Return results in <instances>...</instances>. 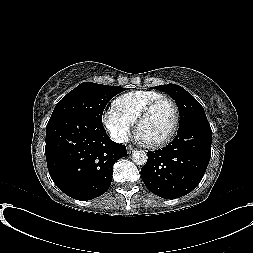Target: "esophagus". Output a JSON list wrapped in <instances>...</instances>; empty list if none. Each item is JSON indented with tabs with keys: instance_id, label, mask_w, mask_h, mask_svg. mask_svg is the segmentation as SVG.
Masks as SVG:
<instances>
[{
	"instance_id": "1",
	"label": "esophagus",
	"mask_w": 253,
	"mask_h": 253,
	"mask_svg": "<svg viewBox=\"0 0 253 253\" xmlns=\"http://www.w3.org/2000/svg\"><path fill=\"white\" fill-rule=\"evenodd\" d=\"M135 149H136L135 147L129 145V146L127 147L128 154H131L133 151H135Z\"/></svg>"
}]
</instances>
